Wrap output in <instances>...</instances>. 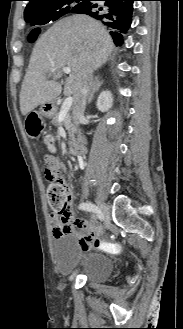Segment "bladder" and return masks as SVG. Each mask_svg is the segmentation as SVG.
Here are the masks:
<instances>
[{
	"label": "bladder",
	"instance_id": "1",
	"mask_svg": "<svg viewBox=\"0 0 183 329\" xmlns=\"http://www.w3.org/2000/svg\"><path fill=\"white\" fill-rule=\"evenodd\" d=\"M53 254L59 272L64 276L82 277L94 283L104 282L112 272V260L101 252L82 258V250L73 234L66 233L53 243Z\"/></svg>",
	"mask_w": 183,
	"mask_h": 329
}]
</instances>
